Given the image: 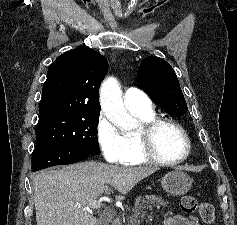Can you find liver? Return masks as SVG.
<instances>
[{
  "label": "liver",
  "instance_id": "1",
  "mask_svg": "<svg viewBox=\"0 0 237 225\" xmlns=\"http://www.w3.org/2000/svg\"><path fill=\"white\" fill-rule=\"evenodd\" d=\"M153 167H119L86 161L42 171L33 178L37 225H101L87 211L90 201L114 187L126 195Z\"/></svg>",
  "mask_w": 237,
  "mask_h": 225
}]
</instances>
